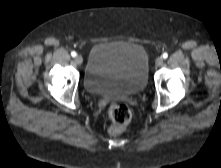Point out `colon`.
I'll use <instances>...</instances> for the list:
<instances>
[{"mask_svg":"<svg viewBox=\"0 0 221 168\" xmlns=\"http://www.w3.org/2000/svg\"><path fill=\"white\" fill-rule=\"evenodd\" d=\"M109 116L112 120L110 132L116 133L124 129L131 119L129 108L120 103H112L108 109Z\"/></svg>","mask_w":221,"mask_h":168,"instance_id":"1","label":"colon"}]
</instances>
